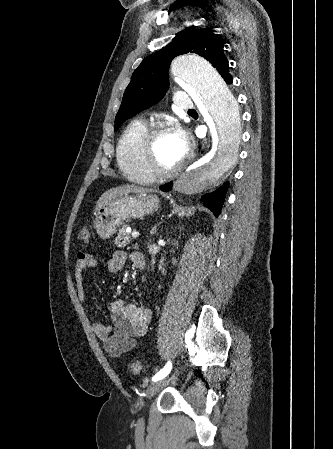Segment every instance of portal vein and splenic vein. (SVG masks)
<instances>
[{
	"instance_id": "18ae733b",
	"label": "portal vein and splenic vein",
	"mask_w": 333,
	"mask_h": 449,
	"mask_svg": "<svg viewBox=\"0 0 333 449\" xmlns=\"http://www.w3.org/2000/svg\"><path fill=\"white\" fill-rule=\"evenodd\" d=\"M132 237L135 238V239L138 238L139 237V233L137 231H133L132 232Z\"/></svg>"
}]
</instances>
